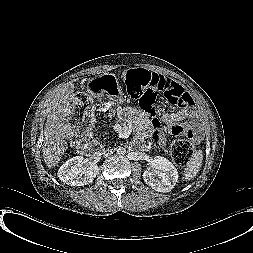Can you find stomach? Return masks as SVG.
I'll return each mask as SVG.
<instances>
[{
    "label": "stomach",
    "mask_w": 253,
    "mask_h": 253,
    "mask_svg": "<svg viewBox=\"0 0 253 253\" xmlns=\"http://www.w3.org/2000/svg\"><path fill=\"white\" fill-rule=\"evenodd\" d=\"M88 93L93 97H100L105 94L116 103H123L125 100L124 93L118 85L117 79L112 74H102L97 78L89 80L87 85Z\"/></svg>",
    "instance_id": "obj_1"
}]
</instances>
